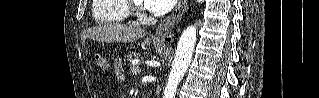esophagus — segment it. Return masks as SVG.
Segmentation results:
<instances>
[{
	"label": "esophagus",
	"instance_id": "esophagus-1",
	"mask_svg": "<svg viewBox=\"0 0 319 98\" xmlns=\"http://www.w3.org/2000/svg\"><path fill=\"white\" fill-rule=\"evenodd\" d=\"M188 1L179 0L173 12L166 17L157 27L155 35L165 43H172L174 40L173 29L179 24L186 12Z\"/></svg>",
	"mask_w": 319,
	"mask_h": 98
}]
</instances>
